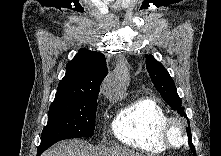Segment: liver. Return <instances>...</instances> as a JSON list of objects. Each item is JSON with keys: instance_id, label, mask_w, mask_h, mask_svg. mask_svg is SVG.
Listing matches in <instances>:
<instances>
[{"instance_id": "1", "label": "liver", "mask_w": 221, "mask_h": 156, "mask_svg": "<svg viewBox=\"0 0 221 156\" xmlns=\"http://www.w3.org/2000/svg\"><path fill=\"white\" fill-rule=\"evenodd\" d=\"M43 156H143L131 149L124 147L94 148L81 139H73L57 143Z\"/></svg>"}]
</instances>
